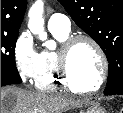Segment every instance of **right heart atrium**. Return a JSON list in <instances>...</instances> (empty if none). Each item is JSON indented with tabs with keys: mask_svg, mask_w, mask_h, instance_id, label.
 <instances>
[{
	"mask_svg": "<svg viewBox=\"0 0 123 113\" xmlns=\"http://www.w3.org/2000/svg\"><path fill=\"white\" fill-rule=\"evenodd\" d=\"M13 59L16 72L24 84H32L38 72L39 53L32 36L22 32L13 46Z\"/></svg>",
	"mask_w": 123,
	"mask_h": 113,
	"instance_id": "obj_1",
	"label": "right heart atrium"
}]
</instances>
